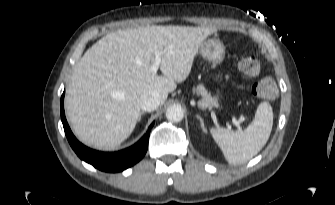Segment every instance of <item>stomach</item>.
I'll return each instance as SVG.
<instances>
[{
	"label": "stomach",
	"mask_w": 335,
	"mask_h": 205,
	"mask_svg": "<svg viewBox=\"0 0 335 205\" xmlns=\"http://www.w3.org/2000/svg\"><path fill=\"white\" fill-rule=\"evenodd\" d=\"M199 54L213 65H217L222 63L225 58V46L218 39H208L202 42ZM216 80L221 81V75H218ZM218 97L216 96L215 99L218 100Z\"/></svg>",
	"instance_id": "obj_1"
}]
</instances>
